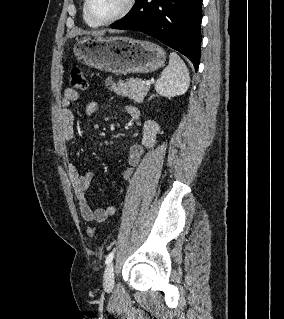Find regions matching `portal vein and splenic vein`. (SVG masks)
Listing matches in <instances>:
<instances>
[{
  "label": "portal vein and splenic vein",
  "instance_id": "portal-vein-and-splenic-vein-1",
  "mask_svg": "<svg viewBox=\"0 0 284 319\" xmlns=\"http://www.w3.org/2000/svg\"><path fill=\"white\" fill-rule=\"evenodd\" d=\"M143 83H144L145 85H147V86H150V84H151V82H150L149 80L143 81Z\"/></svg>",
  "mask_w": 284,
  "mask_h": 319
}]
</instances>
